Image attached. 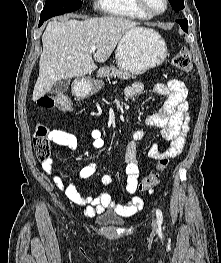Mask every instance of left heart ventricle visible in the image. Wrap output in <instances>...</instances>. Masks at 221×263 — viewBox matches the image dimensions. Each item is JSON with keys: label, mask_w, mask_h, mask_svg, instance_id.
Returning a JSON list of instances; mask_svg holds the SVG:
<instances>
[{"label": "left heart ventricle", "mask_w": 221, "mask_h": 263, "mask_svg": "<svg viewBox=\"0 0 221 263\" xmlns=\"http://www.w3.org/2000/svg\"><path fill=\"white\" fill-rule=\"evenodd\" d=\"M151 11H161L164 8V0H146Z\"/></svg>", "instance_id": "1"}]
</instances>
